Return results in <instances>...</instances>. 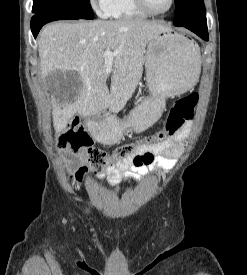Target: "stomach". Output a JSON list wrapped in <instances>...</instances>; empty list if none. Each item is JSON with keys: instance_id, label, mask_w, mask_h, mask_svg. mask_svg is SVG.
Here are the masks:
<instances>
[{"instance_id": "stomach-1", "label": "stomach", "mask_w": 247, "mask_h": 275, "mask_svg": "<svg viewBox=\"0 0 247 275\" xmlns=\"http://www.w3.org/2000/svg\"><path fill=\"white\" fill-rule=\"evenodd\" d=\"M144 58L150 96L123 122H90L88 128L99 142L114 144L127 130H146L160 118L168 97L190 90L198 81L201 71L199 48L181 34L169 30L157 35L148 43Z\"/></svg>"}]
</instances>
